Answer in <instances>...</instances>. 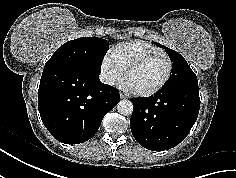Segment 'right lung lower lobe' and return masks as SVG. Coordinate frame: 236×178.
Listing matches in <instances>:
<instances>
[{
	"mask_svg": "<svg viewBox=\"0 0 236 178\" xmlns=\"http://www.w3.org/2000/svg\"><path fill=\"white\" fill-rule=\"evenodd\" d=\"M119 101L118 91L101 83L99 73L89 67H44L38 109L45 127L62 143L79 144L92 138Z\"/></svg>",
	"mask_w": 236,
	"mask_h": 178,
	"instance_id": "right-lung-lower-lobe-1",
	"label": "right lung lower lobe"
}]
</instances>
